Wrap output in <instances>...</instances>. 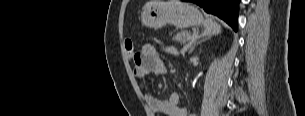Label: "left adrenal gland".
I'll list each match as a JSON object with an SVG mask.
<instances>
[{"instance_id":"a2214340","label":"left adrenal gland","mask_w":305,"mask_h":116,"mask_svg":"<svg viewBox=\"0 0 305 116\" xmlns=\"http://www.w3.org/2000/svg\"><path fill=\"white\" fill-rule=\"evenodd\" d=\"M200 37H202L203 39L198 41L197 43H195L189 50V53H192V51L195 49L196 45L200 44L202 41H205L207 39H209L211 37V34L208 31H204ZM189 46L191 45V43L188 44Z\"/></svg>"}]
</instances>
